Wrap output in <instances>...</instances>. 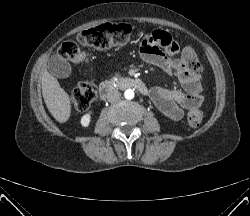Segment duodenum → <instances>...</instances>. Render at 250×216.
<instances>
[{
  "instance_id": "410a0bca",
  "label": "duodenum",
  "mask_w": 250,
  "mask_h": 216,
  "mask_svg": "<svg viewBox=\"0 0 250 216\" xmlns=\"http://www.w3.org/2000/svg\"><path fill=\"white\" fill-rule=\"evenodd\" d=\"M136 89L142 94H147L148 90L143 81L133 78H119L115 80H107L101 83L99 94L101 99H106L108 95L115 89Z\"/></svg>"
}]
</instances>
